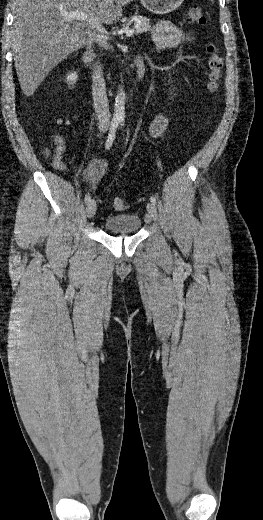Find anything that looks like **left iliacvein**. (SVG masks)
<instances>
[{
	"instance_id": "left-iliac-vein-1",
	"label": "left iliac vein",
	"mask_w": 263,
	"mask_h": 520,
	"mask_svg": "<svg viewBox=\"0 0 263 520\" xmlns=\"http://www.w3.org/2000/svg\"><path fill=\"white\" fill-rule=\"evenodd\" d=\"M147 211H148V214L150 215V217L153 219V220H157L158 218V215H157V210H156V207L155 205H153L152 203H148L147 204Z\"/></svg>"
}]
</instances>
